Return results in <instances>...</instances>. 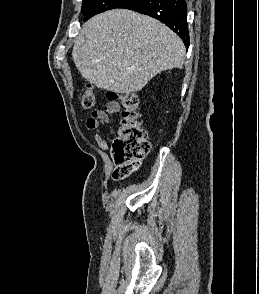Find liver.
<instances>
[{"mask_svg": "<svg viewBox=\"0 0 259 294\" xmlns=\"http://www.w3.org/2000/svg\"><path fill=\"white\" fill-rule=\"evenodd\" d=\"M185 53L182 40L160 21L115 9L83 24L72 57L91 84L129 94L162 71L182 68Z\"/></svg>", "mask_w": 259, "mask_h": 294, "instance_id": "liver-1", "label": "liver"}]
</instances>
